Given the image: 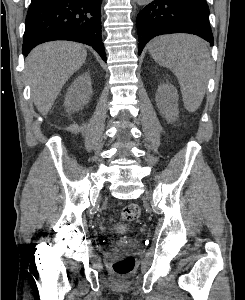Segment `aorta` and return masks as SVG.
<instances>
[{
  "label": "aorta",
  "instance_id": "aorta-1",
  "mask_svg": "<svg viewBox=\"0 0 245 300\" xmlns=\"http://www.w3.org/2000/svg\"><path fill=\"white\" fill-rule=\"evenodd\" d=\"M151 0H135L139 6L147 5Z\"/></svg>",
  "mask_w": 245,
  "mask_h": 300
}]
</instances>
